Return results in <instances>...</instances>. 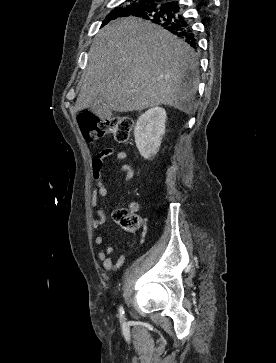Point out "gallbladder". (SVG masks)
<instances>
[{
	"label": "gallbladder",
	"mask_w": 276,
	"mask_h": 363,
	"mask_svg": "<svg viewBox=\"0 0 276 363\" xmlns=\"http://www.w3.org/2000/svg\"><path fill=\"white\" fill-rule=\"evenodd\" d=\"M90 111L100 119H110L112 116V110L107 107L106 101L101 95H98L90 106Z\"/></svg>",
	"instance_id": "1"
}]
</instances>
